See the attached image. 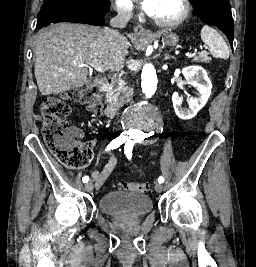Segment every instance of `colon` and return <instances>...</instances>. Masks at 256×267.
Listing matches in <instances>:
<instances>
[{
    "mask_svg": "<svg viewBox=\"0 0 256 267\" xmlns=\"http://www.w3.org/2000/svg\"><path fill=\"white\" fill-rule=\"evenodd\" d=\"M88 108L92 113L102 111V103L97 95L88 88L73 89L64 96L46 97L42 103L43 136L49 150L65 166L81 168L87 166L92 158L91 147L76 144L74 131L66 123L71 108L65 98ZM118 187L133 192H149L151 184L146 182H120Z\"/></svg>",
    "mask_w": 256,
    "mask_h": 267,
    "instance_id": "1",
    "label": "colon"
}]
</instances>
